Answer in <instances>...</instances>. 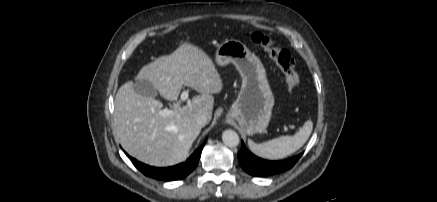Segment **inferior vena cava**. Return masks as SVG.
Instances as JSON below:
<instances>
[{"label": "inferior vena cava", "mask_w": 437, "mask_h": 202, "mask_svg": "<svg viewBox=\"0 0 437 202\" xmlns=\"http://www.w3.org/2000/svg\"><path fill=\"white\" fill-rule=\"evenodd\" d=\"M196 121H197V124H198L199 126L203 127V126H205L206 124H208L209 119H208V117H207L206 114H204V113H200L199 115H197V117H196Z\"/></svg>", "instance_id": "inferior-vena-cava-1"}]
</instances>
